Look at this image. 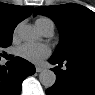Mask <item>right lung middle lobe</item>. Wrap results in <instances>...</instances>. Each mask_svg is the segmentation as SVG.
Returning a JSON list of instances; mask_svg holds the SVG:
<instances>
[{"mask_svg":"<svg viewBox=\"0 0 95 95\" xmlns=\"http://www.w3.org/2000/svg\"><path fill=\"white\" fill-rule=\"evenodd\" d=\"M13 31L4 32L0 31V49L2 47L10 46L12 43Z\"/></svg>","mask_w":95,"mask_h":95,"instance_id":"1","label":"right lung middle lobe"}]
</instances>
